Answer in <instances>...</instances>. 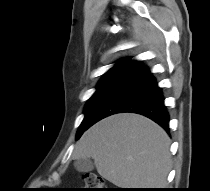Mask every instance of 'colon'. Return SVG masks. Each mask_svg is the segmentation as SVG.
Wrapping results in <instances>:
<instances>
[{
	"mask_svg": "<svg viewBox=\"0 0 210 191\" xmlns=\"http://www.w3.org/2000/svg\"><path fill=\"white\" fill-rule=\"evenodd\" d=\"M83 180L84 188L81 191H111L104 179L96 174L86 173Z\"/></svg>",
	"mask_w": 210,
	"mask_h": 191,
	"instance_id": "5ec220e1",
	"label": "colon"
}]
</instances>
